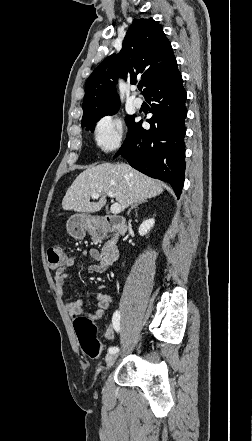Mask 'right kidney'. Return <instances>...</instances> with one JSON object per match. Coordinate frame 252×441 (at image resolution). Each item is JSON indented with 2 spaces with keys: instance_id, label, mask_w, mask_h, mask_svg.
<instances>
[{
  "instance_id": "1",
  "label": "right kidney",
  "mask_w": 252,
  "mask_h": 441,
  "mask_svg": "<svg viewBox=\"0 0 252 441\" xmlns=\"http://www.w3.org/2000/svg\"><path fill=\"white\" fill-rule=\"evenodd\" d=\"M154 223L155 220L153 218L143 221L138 230L140 236L146 235L154 226Z\"/></svg>"
}]
</instances>
